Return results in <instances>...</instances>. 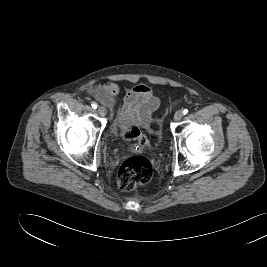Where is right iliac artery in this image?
Masks as SVG:
<instances>
[{
	"label": "right iliac artery",
	"instance_id": "82829eb1",
	"mask_svg": "<svg viewBox=\"0 0 267 267\" xmlns=\"http://www.w3.org/2000/svg\"><path fill=\"white\" fill-rule=\"evenodd\" d=\"M91 106H92V108L96 109L98 105H97V103L92 102Z\"/></svg>",
	"mask_w": 267,
	"mask_h": 267
}]
</instances>
